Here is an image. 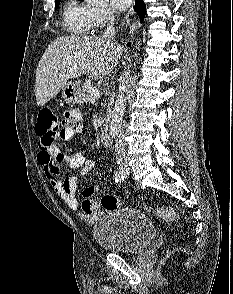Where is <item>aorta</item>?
Masks as SVG:
<instances>
[{"mask_svg":"<svg viewBox=\"0 0 233 294\" xmlns=\"http://www.w3.org/2000/svg\"><path fill=\"white\" fill-rule=\"evenodd\" d=\"M108 0H86L91 5H104ZM125 91L126 84L122 81L119 85L118 95L116 97L115 105L111 115L109 125V134L116 137L123 128V115L125 110Z\"/></svg>","mask_w":233,"mask_h":294,"instance_id":"aorta-1","label":"aorta"}]
</instances>
